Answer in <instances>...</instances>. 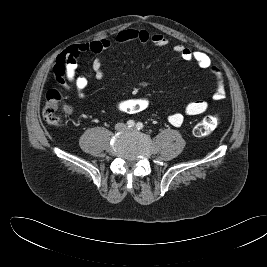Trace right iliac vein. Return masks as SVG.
<instances>
[{
	"instance_id": "right-iliac-vein-1",
	"label": "right iliac vein",
	"mask_w": 267,
	"mask_h": 267,
	"mask_svg": "<svg viewBox=\"0 0 267 267\" xmlns=\"http://www.w3.org/2000/svg\"><path fill=\"white\" fill-rule=\"evenodd\" d=\"M116 130L121 131V130H125L126 126L123 123H119L115 126Z\"/></svg>"
}]
</instances>
